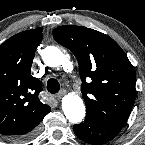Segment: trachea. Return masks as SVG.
I'll return each mask as SVG.
<instances>
[{
	"label": "trachea",
	"instance_id": "obj_1",
	"mask_svg": "<svg viewBox=\"0 0 145 145\" xmlns=\"http://www.w3.org/2000/svg\"><path fill=\"white\" fill-rule=\"evenodd\" d=\"M47 90L51 94L57 93L60 90V84H59V82L56 79H54V78H50L47 81Z\"/></svg>",
	"mask_w": 145,
	"mask_h": 145
}]
</instances>
